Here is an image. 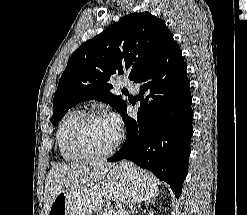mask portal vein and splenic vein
I'll return each mask as SVG.
<instances>
[{
    "mask_svg": "<svg viewBox=\"0 0 247 215\" xmlns=\"http://www.w3.org/2000/svg\"><path fill=\"white\" fill-rule=\"evenodd\" d=\"M120 215H128V212L124 209L119 210Z\"/></svg>",
    "mask_w": 247,
    "mask_h": 215,
    "instance_id": "portal-vein-and-splenic-vein-1",
    "label": "portal vein and splenic vein"
}]
</instances>
